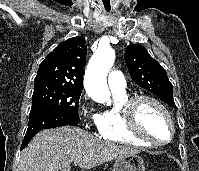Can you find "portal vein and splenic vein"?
<instances>
[{
  "instance_id": "1",
  "label": "portal vein and splenic vein",
  "mask_w": 199,
  "mask_h": 171,
  "mask_svg": "<svg viewBox=\"0 0 199 171\" xmlns=\"http://www.w3.org/2000/svg\"><path fill=\"white\" fill-rule=\"evenodd\" d=\"M74 162L77 164V163H79V160L76 159Z\"/></svg>"
}]
</instances>
